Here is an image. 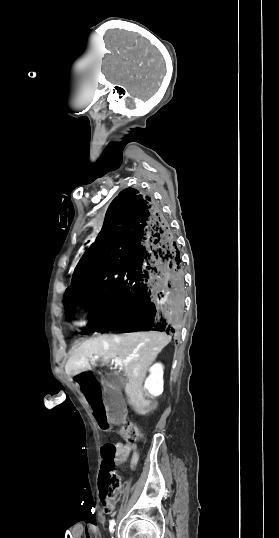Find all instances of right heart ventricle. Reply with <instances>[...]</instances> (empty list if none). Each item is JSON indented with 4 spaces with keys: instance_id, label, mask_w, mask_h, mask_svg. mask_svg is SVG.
I'll return each mask as SVG.
<instances>
[{
    "instance_id": "1",
    "label": "right heart ventricle",
    "mask_w": 279,
    "mask_h": 538,
    "mask_svg": "<svg viewBox=\"0 0 279 538\" xmlns=\"http://www.w3.org/2000/svg\"><path fill=\"white\" fill-rule=\"evenodd\" d=\"M56 230H57L59 235H65L66 234L65 224L62 221V219H60V218L56 222ZM74 232H76V231L72 230V232H70V236H71L72 239H75L76 236H77V233L74 234Z\"/></svg>"
}]
</instances>
